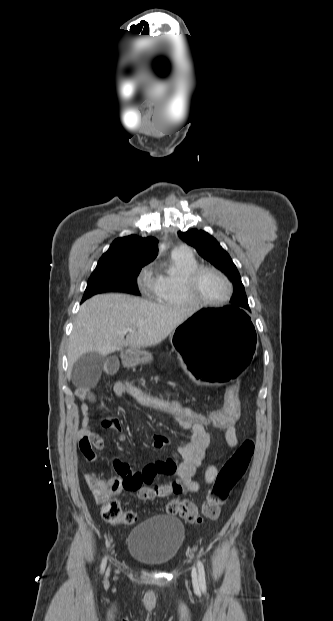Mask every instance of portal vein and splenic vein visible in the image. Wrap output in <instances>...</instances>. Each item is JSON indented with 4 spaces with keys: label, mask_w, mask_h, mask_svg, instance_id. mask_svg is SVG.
Masks as SVG:
<instances>
[{
    "label": "portal vein and splenic vein",
    "mask_w": 333,
    "mask_h": 621,
    "mask_svg": "<svg viewBox=\"0 0 333 621\" xmlns=\"http://www.w3.org/2000/svg\"><path fill=\"white\" fill-rule=\"evenodd\" d=\"M127 332H131V328H126V329L122 330V333H123V334H125V333H127Z\"/></svg>",
    "instance_id": "portal-vein-and-splenic-vein-1"
}]
</instances>
